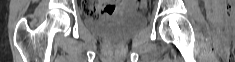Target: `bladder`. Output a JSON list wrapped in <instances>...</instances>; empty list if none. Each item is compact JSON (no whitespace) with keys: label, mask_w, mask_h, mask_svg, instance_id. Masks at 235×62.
<instances>
[{"label":"bladder","mask_w":235,"mask_h":62,"mask_svg":"<svg viewBox=\"0 0 235 62\" xmlns=\"http://www.w3.org/2000/svg\"><path fill=\"white\" fill-rule=\"evenodd\" d=\"M147 18L143 12L127 2L113 13L94 18L85 16V24L93 32L108 37H125L145 27Z\"/></svg>","instance_id":"obj_1"}]
</instances>
